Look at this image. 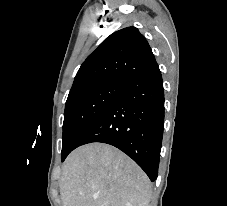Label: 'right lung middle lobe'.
<instances>
[{"mask_svg":"<svg viewBox=\"0 0 227 206\" xmlns=\"http://www.w3.org/2000/svg\"><path fill=\"white\" fill-rule=\"evenodd\" d=\"M126 86L122 80H104L69 94L63 123L61 159L75 149L81 135L119 97Z\"/></svg>","mask_w":227,"mask_h":206,"instance_id":"obj_1","label":"right lung middle lobe"}]
</instances>
